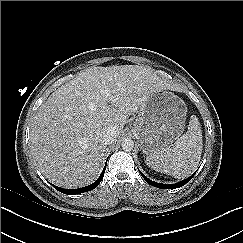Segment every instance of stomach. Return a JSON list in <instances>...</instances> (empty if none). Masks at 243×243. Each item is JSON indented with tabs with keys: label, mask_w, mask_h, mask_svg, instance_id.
Wrapping results in <instances>:
<instances>
[{
	"label": "stomach",
	"mask_w": 243,
	"mask_h": 243,
	"mask_svg": "<svg viewBox=\"0 0 243 243\" xmlns=\"http://www.w3.org/2000/svg\"><path fill=\"white\" fill-rule=\"evenodd\" d=\"M187 107L173 93L153 92L134 124L140 149L146 154H156L171 146L184 130Z\"/></svg>",
	"instance_id": "stomach-1"
}]
</instances>
